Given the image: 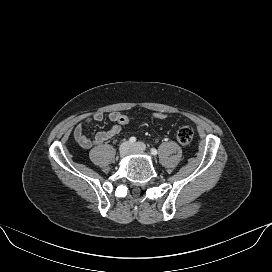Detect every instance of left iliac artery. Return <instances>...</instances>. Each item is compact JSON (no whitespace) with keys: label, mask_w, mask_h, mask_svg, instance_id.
I'll return each instance as SVG.
<instances>
[{"label":"left iliac artery","mask_w":272,"mask_h":272,"mask_svg":"<svg viewBox=\"0 0 272 272\" xmlns=\"http://www.w3.org/2000/svg\"><path fill=\"white\" fill-rule=\"evenodd\" d=\"M157 153H158V152H157V150H156L155 148H152V149H151V154H152V155H157Z\"/></svg>","instance_id":"44dca946"}]
</instances>
